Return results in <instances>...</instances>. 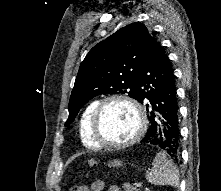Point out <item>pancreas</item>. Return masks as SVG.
I'll return each mask as SVG.
<instances>
[{"label": "pancreas", "mask_w": 221, "mask_h": 191, "mask_svg": "<svg viewBox=\"0 0 221 191\" xmlns=\"http://www.w3.org/2000/svg\"><path fill=\"white\" fill-rule=\"evenodd\" d=\"M123 188H124L125 191H140L139 189H137L136 187L130 185L127 182L123 184Z\"/></svg>", "instance_id": "cf45deb5"}]
</instances>
